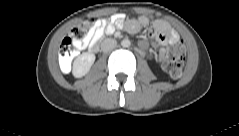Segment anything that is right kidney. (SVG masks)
Here are the masks:
<instances>
[{
	"label": "right kidney",
	"mask_w": 239,
	"mask_h": 136,
	"mask_svg": "<svg viewBox=\"0 0 239 136\" xmlns=\"http://www.w3.org/2000/svg\"><path fill=\"white\" fill-rule=\"evenodd\" d=\"M95 61V55L92 53H82L73 63V75L76 78L85 76Z\"/></svg>",
	"instance_id": "ca27d5eb"
}]
</instances>
